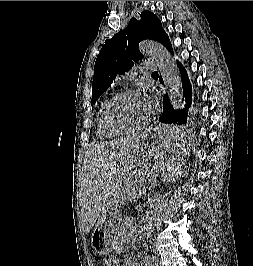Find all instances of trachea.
Instances as JSON below:
<instances>
[{
    "mask_svg": "<svg viewBox=\"0 0 253 266\" xmlns=\"http://www.w3.org/2000/svg\"><path fill=\"white\" fill-rule=\"evenodd\" d=\"M152 75H158V72H153Z\"/></svg>",
    "mask_w": 253,
    "mask_h": 266,
    "instance_id": "1",
    "label": "trachea"
}]
</instances>
